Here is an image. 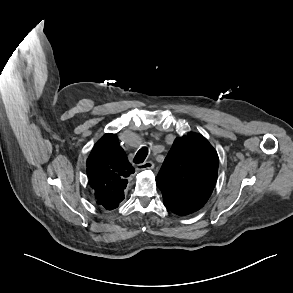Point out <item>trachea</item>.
I'll return each instance as SVG.
<instances>
[{"label":"trachea","instance_id":"3493384b","mask_svg":"<svg viewBox=\"0 0 293 293\" xmlns=\"http://www.w3.org/2000/svg\"><path fill=\"white\" fill-rule=\"evenodd\" d=\"M147 154H148V148L147 147L141 148L137 152L136 156L134 157V163H136V164L142 163L145 160V158L147 157Z\"/></svg>","mask_w":293,"mask_h":293}]
</instances>
